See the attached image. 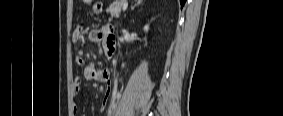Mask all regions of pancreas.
<instances>
[{"label":"pancreas","instance_id":"1","mask_svg":"<svg viewBox=\"0 0 283 116\" xmlns=\"http://www.w3.org/2000/svg\"><path fill=\"white\" fill-rule=\"evenodd\" d=\"M125 3V0H117L114 1L109 8L107 9V12L111 14V17L118 18L121 12V8L123 4Z\"/></svg>","mask_w":283,"mask_h":116}]
</instances>
